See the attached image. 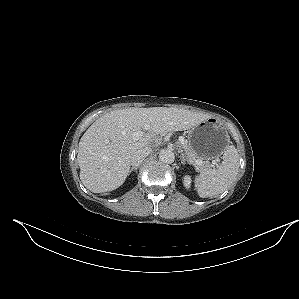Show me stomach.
<instances>
[{
    "mask_svg": "<svg viewBox=\"0 0 299 299\" xmlns=\"http://www.w3.org/2000/svg\"><path fill=\"white\" fill-rule=\"evenodd\" d=\"M187 138L192 150L207 161L220 157L230 144L227 130L213 117L191 128Z\"/></svg>",
    "mask_w": 299,
    "mask_h": 299,
    "instance_id": "0dacf381",
    "label": "stomach"
}]
</instances>
